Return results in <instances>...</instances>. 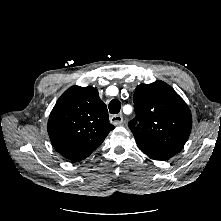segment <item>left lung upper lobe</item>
I'll return each instance as SVG.
<instances>
[{
  "label": "left lung upper lobe",
  "mask_w": 221,
  "mask_h": 221,
  "mask_svg": "<svg viewBox=\"0 0 221 221\" xmlns=\"http://www.w3.org/2000/svg\"><path fill=\"white\" fill-rule=\"evenodd\" d=\"M133 102L136 116L129 127L139 149L155 160L179 153L190 135L192 115L174 89L163 81L140 84Z\"/></svg>",
  "instance_id": "left-lung-upper-lobe-1"
}]
</instances>
